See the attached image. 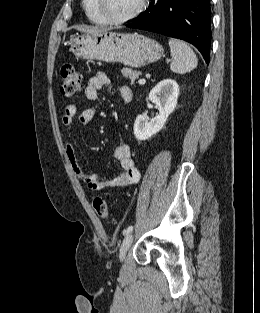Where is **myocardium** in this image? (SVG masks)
<instances>
[{"instance_id":"obj_1","label":"myocardium","mask_w":260,"mask_h":313,"mask_svg":"<svg viewBox=\"0 0 260 313\" xmlns=\"http://www.w3.org/2000/svg\"><path fill=\"white\" fill-rule=\"evenodd\" d=\"M146 2L147 0H139L136 8L131 13L121 18H113L106 13L103 4L104 0H95V7L98 14L105 21L106 24L119 25L132 21L133 19L138 17L145 9Z\"/></svg>"}]
</instances>
